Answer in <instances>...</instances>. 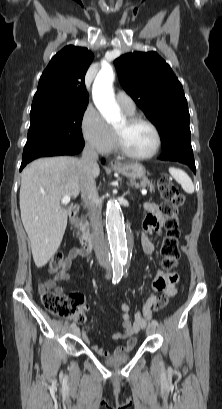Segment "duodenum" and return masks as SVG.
Masks as SVG:
<instances>
[{"label":"duodenum","mask_w":222,"mask_h":409,"mask_svg":"<svg viewBox=\"0 0 222 409\" xmlns=\"http://www.w3.org/2000/svg\"><path fill=\"white\" fill-rule=\"evenodd\" d=\"M80 210L79 205H74L70 209L69 213V218H70V224L72 227H75L77 224V216ZM94 244V236L93 235H83L81 237V246L84 252L90 253L92 251Z\"/></svg>","instance_id":"410a0bca"}]
</instances>
